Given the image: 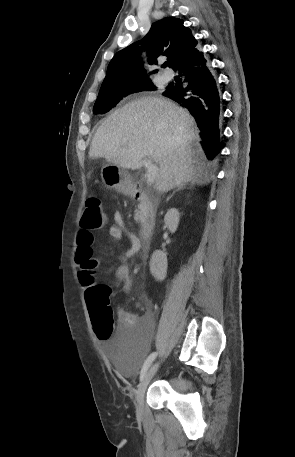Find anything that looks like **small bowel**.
<instances>
[{
  "mask_svg": "<svg viewBox=\"0 0 295 457\" xmlns=\"http://www.w3.org/2000/svg\"><path fill=\"white\" fill-rule=\"evenodd\" d=\"M109 236L114 240H121L127 237L130 240V247L121 256L122 264L116 269V281L113 283H102L109 291L121 290L123 293L129 292L132 287V277L126 261L134 257L141 248L140 239L131 232L125 225L124 219L120 212L114 213V224L108 228ZM95 237L91 230L81 228L77 236V251L76 259L80 256L88 257L89 261L93 264L94 269L99 265V261L92 257ZM81 279V277H80ZM95 283L96 280L94 279ZM86 288V286L83 284ZM154 328V317L152 311L147 307L142 315H136L125 309L118 308V338H125L131 333L143 332L150 333Z\"/></svg>",
  "mask_w": 295,
  "mask_h": 457,
  "instance_id": "obj_1",
  "label": "small bowel"
}]
</instances>
